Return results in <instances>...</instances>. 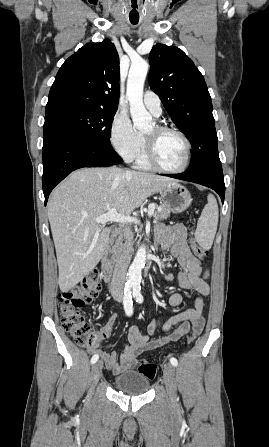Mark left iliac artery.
Wrapping results in <instances>:
<instances>
[{"mask_svg":"<svg viewBox=\"0 0 269 447\" xmlns=\"http://www.w3.org/2000/svg\"><path fill=\"white\" fill-rule=\"evenodd\" d=\"M133 297L135 298L136 302L142 303L143 302V296L141 294V286L140 283H134L133 284ZM170 362L173 366L178 365V361L176 358L172 357L170 359Z\"/></svg>","mask_w":269,"mask_h":447,"instance_id":"44dca946","label":"left iliac artery"}]
</instances>
